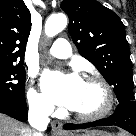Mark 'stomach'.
Instances as JSON below:
<instances>
[{"label":"stomach","instance_id":"1","mask_svg":"<svg viewBox=\"0 0 136 136\" xmlns=\"http://www.w3.org/2000/svg\"><path fill=\"white\" fill-rule=\"evenodd\" d=\"M68 136H74V135H68ZM77 136H112V135L101 130H87L81 135H77Z\"/></svg>","mask_w":136,"mask_h":136}]
</instances>
